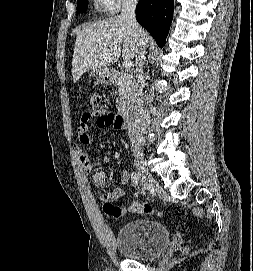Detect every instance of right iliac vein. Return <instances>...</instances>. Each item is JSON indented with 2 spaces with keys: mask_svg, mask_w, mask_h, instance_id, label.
Instances as JSON below:
<instances>
[{
  "mask_svg": "<svg viewBox=\"0 0 253 271\" xmlns=\"http://www.w3.org/2000/svg\"><path fill=\"white\" fill-rule=\"evenodd\" d=\"M135 162L142 184L146 188L156 187L157 183L155 182L154 178L152 177L147 168L146 162L144 161L143 152L137 151L135 153Z\"/></svg>",
  "mask_w": 253,
  "mask_h": 271,
  "instance_id": "right-iliac-vein-1",
  "label": "right iliac vein"
}]
</instances>
